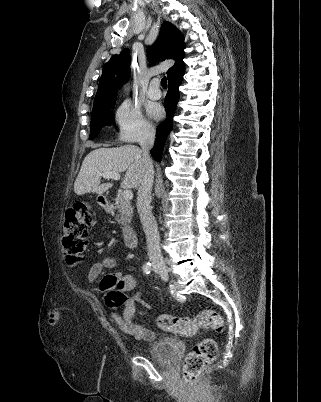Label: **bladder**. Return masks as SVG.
I'll use <instances>...</instances> for the list:
<instances>
[{
	"label": "bladder",
	"mask_w": 321,
	"mask_h": 402,
	"mask_svg": "<svg viewBox=\"0 0 321 402\" xmlns=\"http://www.w3.org/2000/svg\"><path fill=\"white\" fill-rule=\"evenodd\" d=\"M179 340L161 333L145 351L146 355L161 364H171L179 351Z\"/></svg>",
	"instance_id": "31cf9c89"
}]
</instances>
